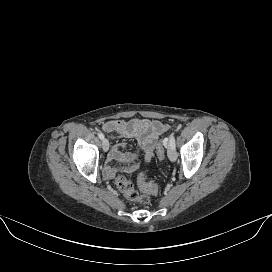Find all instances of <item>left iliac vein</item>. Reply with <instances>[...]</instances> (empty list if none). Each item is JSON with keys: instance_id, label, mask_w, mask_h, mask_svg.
I'll use <instances>...</instances> for the list:
<instances>
[{"instance_id": "4c4485c4", "label": "left iliac vein", "mask_w": 272, "mask_h": 272, "mask_svg": "<svg viewBox=\"0 0 272 272\" xmlns=\"http://www.w3.org/2000/svg\"><path fill=\"white\" fill-rule=\"evenodd\" d=\"M168 157L171 161H176L177 159V154L176 151L173 147L169 146L167 150Z\"/></svg>"}]
</instances>
